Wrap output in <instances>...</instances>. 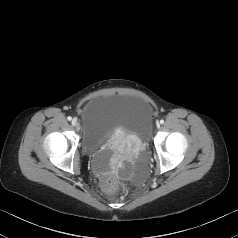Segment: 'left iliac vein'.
<instances>
[{"label":"left iliac vein","instance_id":"1","mask_svg":"<svg viewBox=\"0 0 238 238\" xmlns=\"http://www.w3.org/2000/svg\"><path fill=\"white\" fill-rule=\"evenodd\" d=\"M156 126H157L158 128H160V124H159V122H158V123H156Z\"/></svg>","mask_w":238,"mask_h":238}]
</instances>
